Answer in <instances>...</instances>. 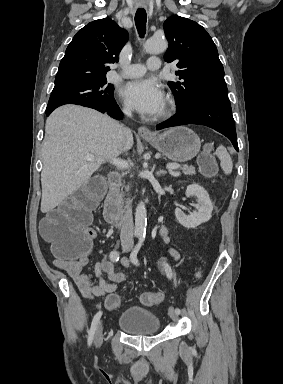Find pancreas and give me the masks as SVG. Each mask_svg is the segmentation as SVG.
Wrapping results in <instances>:
<instances>
[{"mask_svg": "<svg viewBox=\"0 0 283 384\" xmlns=\"http://www.w3.org/2000/svg\"><path fill=\"white\" fill-rule=\"evenodd\" d=\"M179 168L182 170L183 174H186V176H193V174H196L194 166H179ZM125 190H129V186H126ZM119 200L121 204H123V194H121Z\"/></svg>", "mask_w": 283, "mask_h": 384, "instance_id": "pancreas-1", "label": "pancreas"}]
</instances>
